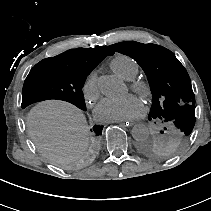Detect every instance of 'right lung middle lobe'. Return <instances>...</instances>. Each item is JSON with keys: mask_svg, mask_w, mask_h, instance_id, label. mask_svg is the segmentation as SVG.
Returning a JSON list of instances; mask_svg holds the SVG:
<instances>
[{"mask_svg": "<svg viewBox=\"0 0 211 211\" xmlns=\"http://www.w3.org/2000/svg\"><path fill=\"white\" fill-rule=\"evenodd\" d=\"M98 64L99 62L60 57L40 61L31 69L24 82L22 108L43 100L59 99L85 111L82 87L87 76ZM102 129L103 126L93 127L96 136L102 134Z\"/></svg>", "mask_w": 211, "mask_h": 211, "instance_id": "obj_1", "label": "right lung middle lobe"}]
</instances>
